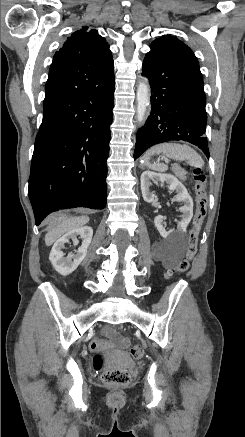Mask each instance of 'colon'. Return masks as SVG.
Here are the masks:
<instances>
[{"label":"colon","instance_id":"1","mask_svg":"<svg viewBox=\"0 0 245 437\" xmlns=\"http://www.w3.org/2000/svg\"><path fill=\"white\" fill-rule=\"evenodd\" d=\"M194 179L196 182V211L193 218L192 227L188 234V246L185 258L177 265L175 271L178 273L186 272L190 267V262L196 254L199 234L207 213V188L206 175L201 168L194 169ZM173 271L167 273V277H171ZM103 346V341L96 339L90 347L96 352L94 357V368L101 371V380L103 383L111 386H124L130 382V375L125 370H103V356L100 350ZM130 354L135 359H140L143 356L144 350L140 345L130 347Z\"/></svg>","mask_w":245,"mask_h":437}]
</instances>
